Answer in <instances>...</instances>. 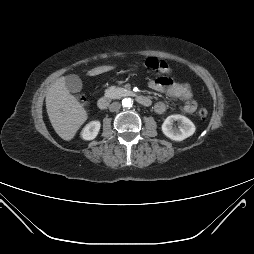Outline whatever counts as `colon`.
I'll return each instance as SVG.
<instances>
[{"label": "colon", "mask_w": 254, "mask_h": 254, "mask_svg": "<svg viewBox=\"0 0 254 254\" xmlns=\"http://www.w3.org/2000/svg\"><path fill=\"white\" fill-rule=\"evenodd\" d=\"M144 65L146 68L163 73V74H169L171 72L170 66L168 65L167 62L160 60L155 57H149L144 61ZM83 103H85V98L81 97L80 98ZM198 115L201 118H206L208 115V110L206 108H200L198 110Z\"/></svg>", "instance_id": "obj_1"}]
</instances>
